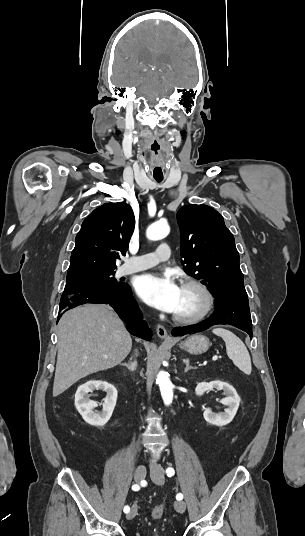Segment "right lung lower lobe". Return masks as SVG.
I'll list each match as a JSON object with an SVG mask.
<instances>
[{
	"mask_svg": "<svg viewBox=\"0 0 305 536\" xmlns=\"http://www.w3.org/2000/svg\"><path fill=\"white\" fill-rule=\"evenodd\" d=\"M85 303L109 304L118 315L129 322L135 321L127 326L128 331L140 338L150 340L151 329L142 320V313L133 298L130 286L124 284L119 289L113 291H101L89 288L65 289L59 310L61 313ZM61 316V315H60Z\"/></svg>",
	"mask_w": 305,
	"mask_h": 536,
	"instance_id": "right-lung-lower-lobe-1",
	"label": "right lung lower lobe"
}]
</instances>
